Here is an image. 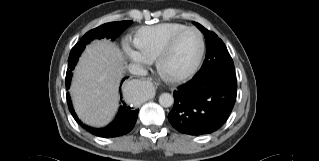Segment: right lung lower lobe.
<instances>
[{
  "mask_svg": "<svg viewBox=\"0 0 319 161\" xmlns=\"http://www.w3.org/2000/svg\"><path fill=\"white\" fill-rule=\"evenodd\" d=\"M70 85V81H66V88L68 89ZM122 99V98H121ZM67 103L69 107V111L72 116L85 130L88 132L101 137H116L129 133L137 120L139 109L134 110L130 106H127L124 102L120 107L119 112L115 118V120L104 128H92L85 124H83L77 117L74 112V109L71 104L69 93H67Z\"/></svg>",
  "mask_w": 319,
  "mask_h": 161,
  "instance_id": "right-lung-lower-lobe-1",
  "label": "right lung lower lobe"
}]
</instances>
